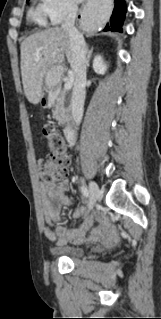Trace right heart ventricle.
<instances>
[{
	"label": "right heart ventricle",
	"instance_id": "e07e8e85",
	"mask_svg": "<svg viewBox=\"0 0 161 319\" xmlns=\"http://www.w3.org/2000/svg\"><path fill=\"white\" fill-rule=\"evenodd\" d=\"M29 18L32 21L37 22L41 25L47 24V19H48L42 5L37 8L31 9L29 12Z\"/></svg>",
	"mask_w": 161,
	"mask_h": 319
}]
</instances>
